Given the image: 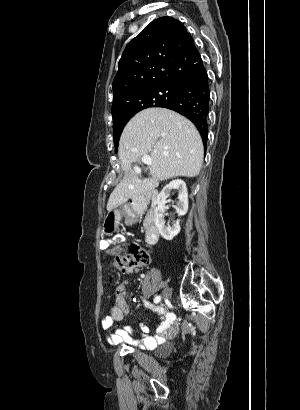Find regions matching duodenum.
I'll return each instance as SVG.
<instances>
[{
	"label": "duodenum",
	"mask_w": 300,
	"mask_h": 410,
	"mask_svg": "<svg viewBox=\"0 0 300 410\" xmlns=\"http://www.w3.org/2000/svg\"><path fill=\"white\" fill-rule=\"evenodd\" d=\"M157 197L158 192L153 191L145 198V200L149 201V205L144 204V201L140 199H134L132 203L135 213H145L144 238L148 245L156 244L159 239V229L155 212Z\"/></svg>",
	"instance_id": "410a0bca"
}]
</instances>
